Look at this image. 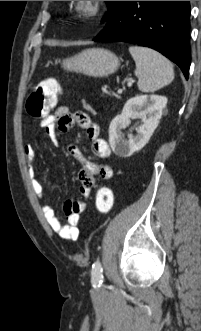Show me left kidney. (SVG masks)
<instances>
[{
	"label": "left kidney",
	"mask_w": 201,
	"mask_h": 331,
	"mask_svg": "<svg viewBox=\"0 0 201 331\" xmlns=\"http://www.w3.org/2000/svg\"><path fill=\"white\" fill-rule=\"evenodd\" d=\"M166 104L167 98L158 95H142L129 99L122 113L109 126V143L113 152L120 157H129L141 150L157 128ZM130 118L142 119V124L137 129V135L126 140L122 130L130 124Z\"/></svg>",
	"instance_id": "1"
}]
</instances>
